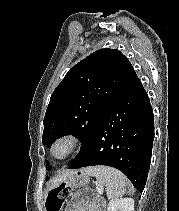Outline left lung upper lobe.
<instances>
[{
  "label": "left lung upper lobe",
  "mask_w": 179,
  "mask_h": 211,
  "mask_svg": "<svg viewBox=\"0 0 179 211\" xmlns=\"http://www.w3.org/2000/svg\"><path fill=\"white\" fill-rule=\"evenodd\" d=\"M132 68L115 49L97 50L74 65L51 95L44 118L43 144L50 147L60 136L77 135L82 142L78 157Z\"/></svg>",
  "instance_id": "5c2ea615"
}]
</instances>
